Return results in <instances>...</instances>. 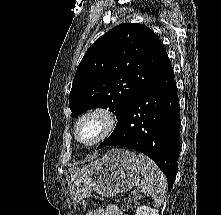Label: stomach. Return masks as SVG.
<instances>
[{
	"mask_svg": "<svg viewBox=\"0 0 221 215\" xmlns=\"http://www.w3.org/2000/svg\"><path fill=\"white\" fill-rule=\"evenodd\" d=\"M141 162L138 156L125 149L109 150L83 167L68 170V184L72 196L83 200L95 191L102 197L131 190L139 180Z\"/></svg>",
	"mask_w": 221,
	"mask_h": 215,
	"instance_id": "obj_1",
	"label": "stomach"
}]
</instances>
